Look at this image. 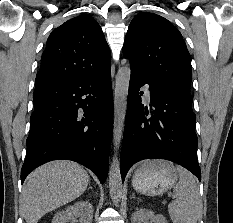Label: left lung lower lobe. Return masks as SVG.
<instances>
[{"label": "left lung lower lobe", "mask_w": 233, "mask_h": 223, "mask_svg": "<svg viewBox=\"0 0 233 223\" xmlns=\"http://www.w3.org/2000/svg\"><path fill=\"white\" fill-rule=\"evenodd\" d=\"M149 84L150 108L141 103L140 88ZM190 94L156 86L131 64L120 171L124 180L129 168L143 159L175 162L201 180L197 160L196 116Z\"/></svg>", "instance_id": "0a47b994"}]
</instances>
